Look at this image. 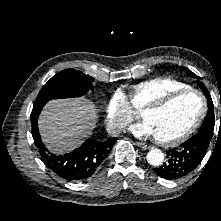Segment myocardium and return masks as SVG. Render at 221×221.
Listing matches in <instances>:
<instances>
[{"mask_svg":"<svg viewBox=\"0 0 221 221\" xmlns=\"http://www.w3.org/2000/svg\"><path fill=\"white\" fill-rule=\"evenodd\" d=\"M185 94H196L200 98L201 110H200L198 116L196 117V119L193 121V123L189 127H187L182 133H180L174 137L159 138V137L154 136V140L156 143L161 144V145L171 146V145L180 144L181 142L188 139L197 130V128L200 126L201 122L203 121V119L206 116L207 100L201 91H199L198 89L192 88V87H188V88H184V89L171 91V92L163 95L162 97L156 99L155 101L151 102L150 104L146 105L145 107H143L140 110L139 115L141 118H143L144 115L147 113L157 112V111L164 109L170 103H172L174 100H176L177 98H179L180 96L185 95Z\"/></svg>","mask_w":221,"mask_h":221,"instance_id":"f54148a6","label":"myocardium"}]
</instances>
